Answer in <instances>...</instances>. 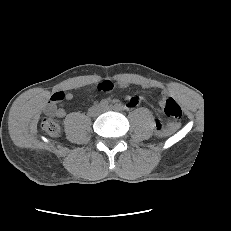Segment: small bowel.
<instances>
[{"instance_id": "obj_1", "label": "small bowel", "mask_w": 231, "mask_h": 231, "mask_svg": "<svg viewBox=\"0 0 231 231\" xmlns=\"http://www.w3.org/2000/svg\"><path fill=\"white\" fill-rule=\"evenodd\" d=\"M115 85L116 88H123L127 85V83L125 81H117L115 83H113ZM55 94H59L60 96V99L56 100V101H51V104H50V109H55V113L57 116L59 117H64L66 115V111L65 109L60 106V107H57L55 108V104L60 102V101H63V100H71L73 98V94L70 93V92H56ZM164 96H166V93H164ZM138 103V98L135 97V96H132V97H128L127 100H126V105L128 108H133L137 105Z\"/></svg>"}]
</instances>
